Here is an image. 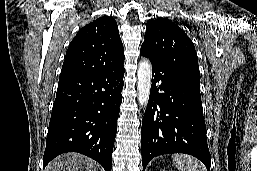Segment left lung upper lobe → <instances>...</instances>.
I'll list each match as a JSON object with an SVG mask.
<instances>
[{
	"mask_svg": "<svg viewBox=\"0 0 257 171\" xmlns=\"http://www.w3.org/2000/svg\"><path fill=\"white\" fill-rule=\"evenodd\" d=\"M140 53L153 60L168 59L200 78L193 42L183 29L166 19H157L149 24Z\"/></svg>",
	"mask_w": 257,
	"mask_h": 171,
	"instance_id": "1",
	"label": "left lung upper lobe"
}]
</instances>
